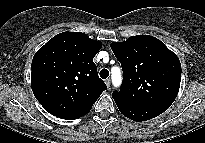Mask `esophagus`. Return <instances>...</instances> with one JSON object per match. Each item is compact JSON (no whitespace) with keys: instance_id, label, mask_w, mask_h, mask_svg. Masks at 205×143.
I'll return each instance as SVG.
<instances>
[{"instance_id":"esophagus-1","label":"esophagus","mask_w":205,"mask_h":143,"mask_svg":"<svg viewBox=\"0 0 205 143\" xmlns=\"http://www.w3.org/2000/svg\"><path fill=\"white\" fill-rule=\"evenodd\" d=\"M105 84L107 85V87H110L111 80H110V79H106V80H105Z\"/></svg>"}]
</instances>
